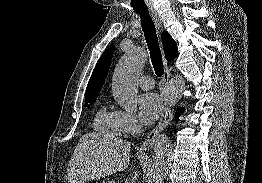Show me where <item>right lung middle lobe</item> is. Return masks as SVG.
Here are the masks:
<instances>
[{
    "instance_id": "right-lung-middle-lobe-1",
    "label": "right lung middle lobe",
    "mask_w": 262,
    "mask_h": 183,
    "mask_svg": "<svg viewBox=\"0 0 262 183\" xmlns=\"http://www.w3.org/2000/svg\"><path fill=\"white\" fill-rule=\"evenodd\" d=\"M96 101V99H87L85 102V106H88V103H90L91 105Z\"/></svg>"
}]
</instances>
